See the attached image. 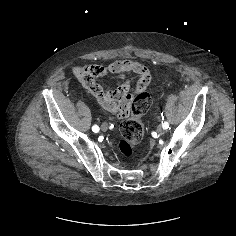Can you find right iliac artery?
I'll use <instances>...</instances> for the list:
<instances>
[{
    "instance_id": "82829eb1",
    "label": "right iliac artery",
    "mask_w": 236,
    "mask_h": 236,
    "mask_svg": "<svg viewBox=\"0 0 236 236\" xmlns=\"http://www.w3.org/2000/svg\"><path fill=\"white\" fill-rule=\"evenodd\" d=\"M92 131L95 132V133L99 132V127L97 125H94L92 127Z\"/></svg>"
}]
</instances>
